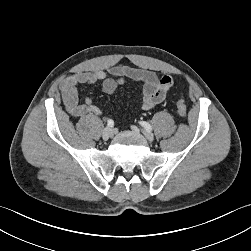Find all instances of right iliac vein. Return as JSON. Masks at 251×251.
<instances>
[{
    "label": "right iliac vein",
    "instance_id": "obj_1",
    "mask_svg": "<svg viewBox=\"0 0 251 251\" xmlns=\"http://www.w3.org/2000/svg\"><path fill=\"white\" fill-rule=\"evenodd\" d=\"M113 135V129L110 127H106L103 132H102V137L104 140H108L109 138H111Z\"/></svg>",
    "mask_w": 251,
    "mask_h": 251
}]
</instances>
